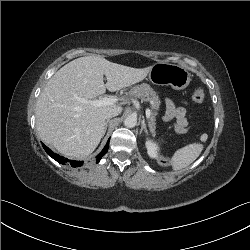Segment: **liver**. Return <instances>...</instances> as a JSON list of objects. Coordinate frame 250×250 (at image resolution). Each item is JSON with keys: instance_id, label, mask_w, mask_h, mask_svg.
Wrapping results in <instances>:
<instances>
[{"instance_id": "obj_1", "label": "liver", "mask_w": 250, "mask_h": 250, "mask_svg": "<svg viewBox=\"0 0 250 250\" xmlns=\"http://www.w3.org/2000/svg\"><path fill=\"white\" fill-rule=\"evenodd\" d=\"M151 68H132L100 56L80 57L64 65L37 100L39 136L67 157L90 155L105 134V114L112 108H121L120 104L96 107L90 101L103 95L106 89L115 92L142 81Z\"/></svg>"}]
</instances>
